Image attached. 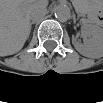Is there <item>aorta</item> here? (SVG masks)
<instances>
[{"mask_svg": "<svg viewBox=\"0 0 103 103\" xmlns=\"http://www.w3.org/2000/svg\"><path fill=\"white\" fill-rule=\"evenodd\" d=\"M54 15L60 22H66L71 15L70 8L67 5H58L54 9Z\"/></svg>", "mask_w": 103, "mask_h": 103, "instance_id": "aorta-1", "label": "aorta"}]
</instances>
